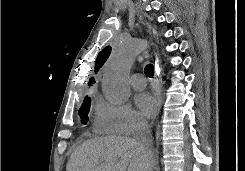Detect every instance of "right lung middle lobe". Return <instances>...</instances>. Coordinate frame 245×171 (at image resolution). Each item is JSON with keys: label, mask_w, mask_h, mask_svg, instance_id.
Masks as SVG:
<instances>
[{"label": "right lung middle lobe", "mask_w": 245, "mask_h": 171, "mask_svg": "<svg viewBox=\"0 0 245 171\" xmlns=\"http://www.w3.org/2000/svg\"><path fill=\"white\" fill-rule=\"evenodd\" d=\"M89 110H90V98L85 97L83 104L81 105V107L79 109V115L81 118V122L83 124H86L88 121Z\"/></svg>", "instance_id": "1"}]
</instances>
